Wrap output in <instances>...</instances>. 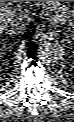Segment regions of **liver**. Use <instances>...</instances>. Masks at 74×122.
I'll return each instance as SVG.
<instances>
[{
  "label": "liver",
  "mask_w": 74,
  "mask_h": 122,
  "mask_svg": "<svg viewBox=\"0 0 74 122\" xmlns=\"http://www.w3.org/2000/svg\"><path fill=\"white\" fill-rule=\"evenodd\" d=\"M16 13H23L21 8H9V9H2L0 13V30H4L9 23V18Z\"/></svg>",
  "instance_id": "obj_1"
}]
</instances>
